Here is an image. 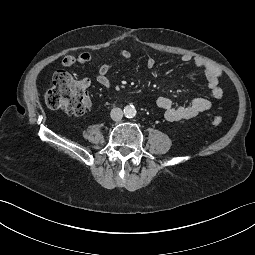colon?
I'll return each instance as SVG.
<instances>
[{
	"label": "colon",
	"mask_w": 255,
	"mask_h": 255,
	"mask_svg": "<svg viewBox=\"0 0 255 255\" xmlns=\"http://www.w3.org/2000/svg\"><path fill=\"white\" fill-rule=\"evenodd\" d=\"M44 100L50 108L74 116L83 115L90 106V97L84 86L64 70L54 73L52 86L45 92ZM212 122L219 126L222 118L215 115Z\"/></svg>",
	"instance_id": "1"
}]
</instances>
